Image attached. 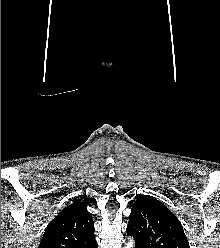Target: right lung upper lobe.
<instances>
[{
	"mask_svg": "<svg viewBox=\"0 0 220 248\" xmlns=\"http://www.w3.org/2000/svg\"><path fill=\"white\" fill-rule=\"evenodd\" d=\"M86 201L75 200L48 225L38 248H88L95 240Z\"/></svg>",
	"mask_w": 220,
	"mask_h": 248,
	"instance_id": "right-lung-upper-lobe-1",
	"label": "right lung upper lobe"
}]
</instances>
